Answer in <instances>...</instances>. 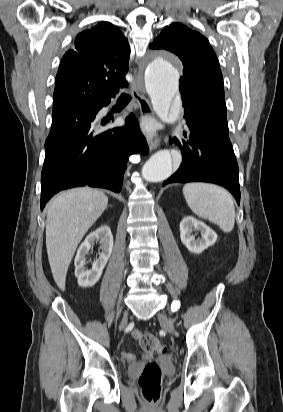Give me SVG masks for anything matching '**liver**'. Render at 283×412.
Returning <instances> with one entry per match:
<instances>
[{
    "label": "liver",
    "mask_w": 283,
    "mask_h": 412,
    "mask_svg": "<svg viewBox=\"0 0 283 412\" xmlns=\"http://www.w3.org/2000/svg\"><path fill=\"white\" fill-rule=\"evenodd\" d=\"M108 204L104 192L90 187L65 191L47 206L46 248L53 278L65 290L76 248Z\"/></svg>",
    "instance_id": "liver-1"
}]
</instances>
